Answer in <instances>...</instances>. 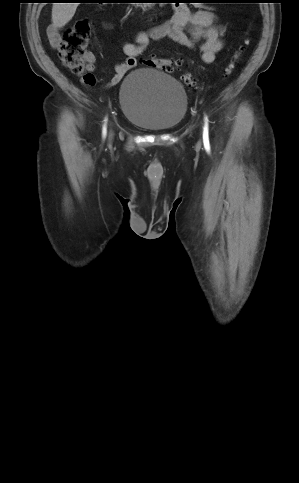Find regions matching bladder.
Wrapping results in <instances>:
<instances>
[{"label": "bladder", "mask_w": 299, "mask_h": 483, "mask_svg": "<svg viewBox=\"0 0 299 483\" xmlns=\"http://www.w3.org/2000/svg\"><path fill=\"white\" fill-rule=\"evenodd\" d=\"M119 104L128 122L150 131L174 129L188 109L181 83L151 67L136 68L128 73L120 85Z\"/></svg>", "instance_id": "1"}]
</instances>
